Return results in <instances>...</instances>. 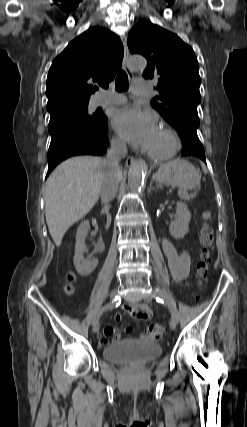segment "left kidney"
Segmentation results:
<instances>
[{"mask_svg":"<svg viewBox=\"0 0 247 427\" xmlns=\"http://www.w3.org/2000/svg\"><path fill=\"white\" fill-rule=\"evenodd\" d=\"M191 214L187 205L183 202H177V209L174 221L169 226V233L175 239L183 238L189 230Z\"/></svg>","mask_w":247,"mask_h":427,"instance_id":"5707ae66","label":"left kidney"}]
</instances>
